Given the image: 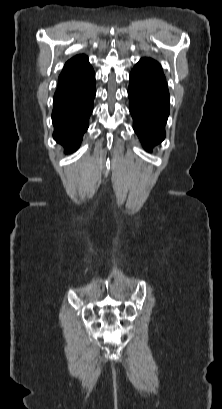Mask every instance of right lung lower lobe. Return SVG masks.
I'll use <instances>...</instances> for the list:
<instances>
[{"mask_svg":"<svg viewBox=\"0 0 222 409\" xmlns=\"http://www.w3.org/2000/svg\"><path fill=\"white\" fill-rule=\"evenodd\" d=\"M60 81L74 88L54 95L53 137L65 147L66 153H71L78 148L88 128L96 94L95 73L93 68L85 73H67L60 76Z\"/></svg>","mask_w":222,"mask_h":409,"instance_id":"obj_1","label":"right lung lower lobe"}]
</instances>
